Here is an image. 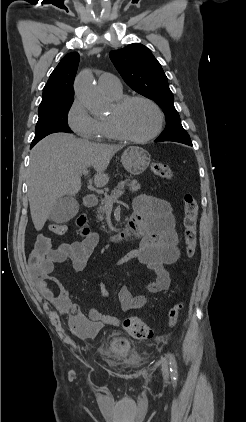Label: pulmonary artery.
<instances>
[{
  "mask_svg": "<svg viewBox=\"0 0 246 422\" xmlns=\"http://www.w3.org/2000/svg\"><path fill=\"white\" fill-rule=\"evenodd\" d=\"M98 86L106 94L119 95L122 92L120 80L111 73H103L98 78Z\"/></svg>",
  "mask_w": 246,
  "mask_h": 422,
  "instance_id": "obj_1",
  "label": "pulmonary artery"
}]
</instances>
